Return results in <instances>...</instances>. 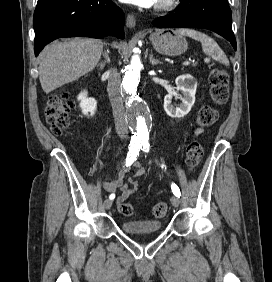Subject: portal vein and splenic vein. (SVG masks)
I'll return each instance as SVG.
<instances>
[{"mask_svg":"<svg viewBox=\"0 0 272 282\" xmlns=\"http://www.w3.org/2000/svg\"><path fill=\"white\" fill-rule=\"evenodd\" d=\"M189 64H190V61L183 62V65H189Z\"/></svg>","mask_w":272,"mask_h":282,"instance_id":"1","label":"portal vein and splenic vein"}]
</instances>
